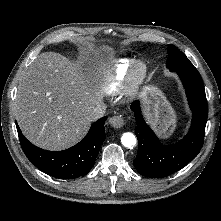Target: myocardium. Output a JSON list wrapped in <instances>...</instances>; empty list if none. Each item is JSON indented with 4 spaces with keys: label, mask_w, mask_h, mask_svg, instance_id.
Returning a JSON list of instances; mask_svg holds the SVG:
<instances>
[{
    "label": "myocardium",
    "mask_w": 221,
    "mask_h": 221,
    "mask_svg": "<svg viewBox=\"0 0 221 221\" xmlns=\"http://www.w3.org/2000/svg\"><path fill=\"white\" fill-rule=\"evenodd\" d=\"M148 74V66L144 61H134L126 77L127 94L134 95L144 83Z\"/></svg>",
    "instance_id": "1"
}]
</instances>
